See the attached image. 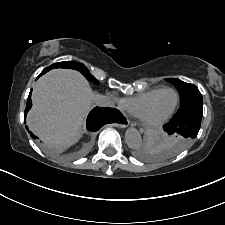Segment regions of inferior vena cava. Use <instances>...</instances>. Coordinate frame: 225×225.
Listing matches in <instances>:
<instances>
[{
  "label": "inferior vena cava",
  "instance_id": "obj_1",
  "mask_svg": "<svg viewBox=\"0 0 225 225\" xmlns=\"http://www.w3.org/2000/svg\"><path fill=\"white\" fill-rule=\"evenodd\" d=\"M95 106L99 107H113L114 102L107 96L97 95L94 98Z\"/></svg>",
  "mask_w": 225,
  "mask_h": 225
}]
</instances>
